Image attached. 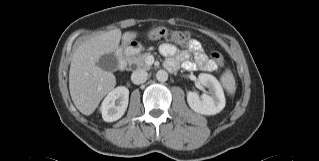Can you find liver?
<instances>
[{
  "instance_id": "liver-1",
  "label": "liver",
  "mask_w": 319,
  "mask_h": 161,
  "mask_svg": "<svg viewBox=\"0 0 319 161\" xmlns=\"http://www.w3.org/2000/svg\"><path fill=\"white\" fill-rule=\"evenodd\" d=\"M136 36L134 31L122 35L120 29H113L95 35L77 47L70 64L69 90L74 105L82 114H92L116 85L114 74L97 66L99 58L116 51L121 40L127 44Z\"/></svg>"
}]
</instances>
